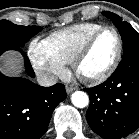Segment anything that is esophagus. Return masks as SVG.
Returning <instances> with one entry per match:
<instances>
[{"label": "esophagus", "mask_w": 139, "mask_h": 139, "mask_svg": "<svg viewBox=\"0 0 139 139\" xmlns=\"http://www.w3.org/2000/svg\"><path fill=\"white\" fill-rule=\"evenodd\" d=\"M73 90H75V86H73V85H67L66 86V92L68 94H70Z\"/></svg>", "instance_id": "1"}]
</instances>
